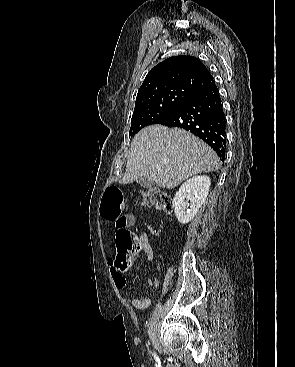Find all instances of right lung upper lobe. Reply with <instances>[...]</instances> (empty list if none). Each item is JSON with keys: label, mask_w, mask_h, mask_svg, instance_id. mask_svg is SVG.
Here are the masks:
<instances>
[{"label": "right lung upper lobe", "mask_w": 295, "mask_h": 367, "mask_svg": "<svg viewBox=\"0 0 295 367\" xmlns=\"http://www.w3.org/2000/svg\"><path fill=\"white\" fill-rule=\"evenodd\" d=\"M212 81L211 74L198 58L174 56L151 69L139 88L136 100L173 88L195 92Z\"/></svg>", "instance_id": "right-lung-upper-lobe-1"}]
</instances>
